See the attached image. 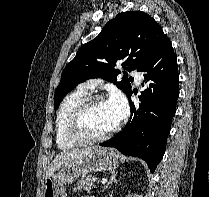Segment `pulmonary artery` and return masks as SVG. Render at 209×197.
<instances>
[{
    "mask_svg": "<svg viewBox=\"0 0 209 197\" xmlns=\"http://www.w3.org/2000/svg\"><path fill=\"white\" fill-rule=\"evenodd\" d=\"M132 76L135 78V82L137 85L140 84L141 81V73L138 69H133L131 71ZM98 85V80H90L82 85L83 88L88 90H93Z\"/></svg>",
    "mask_w": 209,
    "mask_h": 197,
    "instance_id": "e3ab8cb5",
    "label": "pulmonary artery"
}]
</instances>
